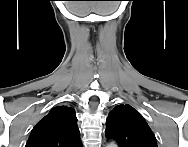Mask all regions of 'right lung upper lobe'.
Masks as SVG:
<instances>
[{
    "label": "right lung upper lobe",
    "mask_w": 188,
    "mask_h": 147,
    "mask_svg": "<svg viewBox=\"0 0 188 147\" xmlns=\"http://www.w3.org/2000/svg\"><path fill=\"white\" fill-rule=\"evenodd\" d=\"M26 147H82L72 107L56 106L33 128Z\"/></svg>",
    "instance_id": "1"
}]
</instances>
